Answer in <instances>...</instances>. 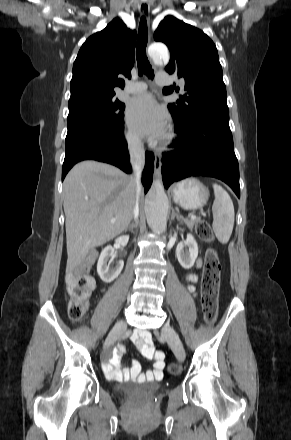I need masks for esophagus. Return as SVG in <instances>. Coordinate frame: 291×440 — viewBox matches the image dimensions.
<instances>
[{
    "instance_id": "obj_1",
    "label": "esophagus",
    "mask_w": 291,
    "mask_h": 440,
    "mask_svg": "<svg viewBox=\"0 0 291 440\" xmlns=\"http://www.w3.org/2000/svg\"><path fill=\"white\" fill-rule=\"evenodd\" d=\"M139 12L142 16L145 17L146 20H148L149 12H150V3L149 2L140 3ZM160 170H161V156L157 154L154 159V174L158 176Z\"/></svg>"
}]
</instances>
